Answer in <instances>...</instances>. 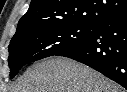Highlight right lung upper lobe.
I'll list each match as a JSON object with an SVG mask.
<instances>
[{
  "label": "right lung upper lobe",
  "instance_id": "cb5924a9",
  "mask_svg": "<svg viewBox=\"0 0 127 92\" xmlns=\"http://www.w3.org/2000/svg\"><path fill=\"white\" fill-rule=\"evenodd\" d=\"M127 12V0H32L14 37L40 27L97 25Z\"/></svg>",
  "mask_w": 127,
  "mask_h": 92
}]
</instances>
